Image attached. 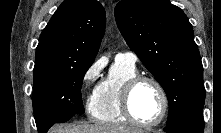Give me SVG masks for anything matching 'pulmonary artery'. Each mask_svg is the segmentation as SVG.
Here are the masks:
<instances>
[{
	"instance_id": "obj_1",
	"label": "pulmonary artery",
	"mask_w": 221,
	"mask_h": 133,
	"mask_svg": "<svg viewBox=\"0 0 221 133\" xmlns=\"http://www.w3.org/2000/svg\"><path fill=\"white\" fill-rule=\"evenodd\" d=\"M115 60L126 63L130 66H135L137 57L134 53L124 52V53H118L115 57Z\"/></svg>"
}]
</instances>
